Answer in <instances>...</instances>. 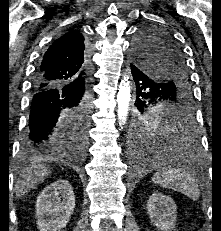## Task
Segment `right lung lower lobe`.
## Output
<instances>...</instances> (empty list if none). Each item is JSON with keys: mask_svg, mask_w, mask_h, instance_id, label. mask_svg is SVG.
<instances>
[{"mask_svg": "<svg viewBox=\"0 0 221 231\" xmlns=\"http://www.w3.org/2000/svg\"><path fill=\"white\" fill-rule=\"evenodd\" d=\"M90 79L91 75L84 82L34 89L29 125L21 143L25 160L84 155L86 145L69 132L66 117L90 105Z\"/></svg>", "mask_w": 221, "mask_h": 231, "instance_id": "1", "label": "right lung lower lobe"}]
</instances>
